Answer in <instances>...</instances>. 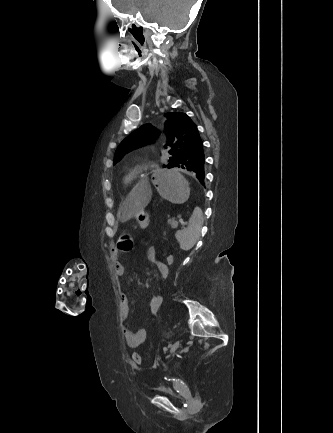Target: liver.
<instances>
[{
  "instance_id": "liver-1",
  "label": "liver",
  "mask_w": 333,
  "mask_h": 433,
  "mask_svg": "<svg viewBox=\"0 0 333 433\" xmlns=\"http://www.w3.org/2000/svg\"><path fill=\"white\" fill-rule=\"evenodd\" d=\"M136 192H130V201H119L122 222L131 220L133 215H139L146 208L144 201H149V192L152 189L150 183H136Z\"/></svg>"
}]
</instances>
